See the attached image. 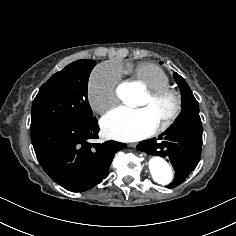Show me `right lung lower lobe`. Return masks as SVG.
<instances>
[{"label": "right lung lower lobe", "mask_w": 236, "mask_h": 236, "mask_svg": "<svg viewBox=\"0 0 236 236\" xmlns=\"http://www.w3.org/2000/svg\"><path fill=\"white\" fill-rule=\"evenodd\" d=\"M96 118L74 121L59 120L30 127L31 141L44 171L63 188L87 191L107 177L116 152L125 143L106 141L89 143L98 138Z\"/></svg>", "instance_id": "1"}]
</instances>
